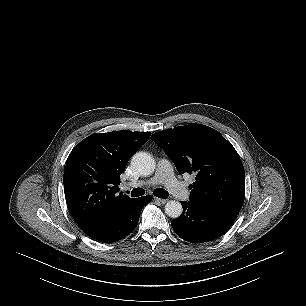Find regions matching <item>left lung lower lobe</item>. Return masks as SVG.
Returning a JSON list of instances; mask_svg holds the SVG:
<instances>
[{
  "mask_svg": "<svg viewBox=\"0 0 306 306\" xmlns=\"http://www.w3.org/2000/svg\"><path fill=\"white\" fill-rule=\"evenodd\" d=\"M181 204L183 213L172 220L171 225L176 234L191 243L212 241L222 236L237 217L232 211L199 206L191 201Z\"/></svg>",
  "mask_w": 306,
  "mask_h": 306,
  "instance_id": "obj_1",
  "label": "left lung lower lobe"
}]
</instances>
